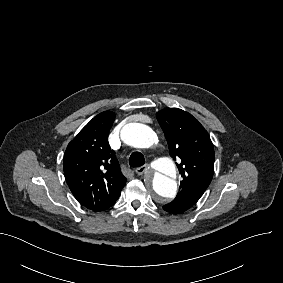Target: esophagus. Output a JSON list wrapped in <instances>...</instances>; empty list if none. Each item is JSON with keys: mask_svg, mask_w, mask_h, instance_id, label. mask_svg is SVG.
I'll return each mask as SVG.
<instances>
[{"mask_svg": "<svg viewBox=\"0 0 283 283\" xmlns=\"http://www.w3.org/2000/svg\"><path fill=\"white\" fill-rule=\"evenodd\" d=\"M150 165L149 164H145L139 168H137L135 170V172L138 174V175H142L143 173H145L148 169H149Z\"/></svg>", "mask_w": 283, "mask_h": 283, "instance_id": "34e87169", "label": "esophagus"}]
</instances>
